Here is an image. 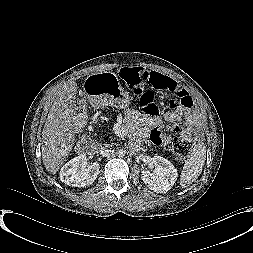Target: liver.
Masks as SVG:
<instances>
[{"mask_svg":"<svg viewBox=\"0 0 253 253\" xmlns=\"http://www.w3.org/2000/svg\"><path fill=\"white\" fill-rule=\"evenodd\" d=\"M77 84H64L55 93L42 131V160L46 170L55 174L69 155L76 139L78 118L74 110Z\"/></svg>","mask_w":253,"mask_h":253,"instance_id":"1","label":"liver"}]
</instances>
